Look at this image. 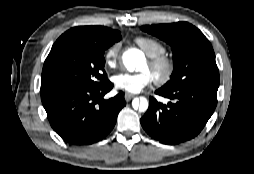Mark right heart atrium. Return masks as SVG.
Returning <instances> with one entry per match:
<instances>
[{
	"mask_svg": "<svg viewBox=\"0 0 254 174\" xmlns=\"http://www.w3.org/2000/svg\"><path fill=\"white\" fill-rule=\"evenodd\" d=\"M120 47V43H113L106 49L104 53V62L107 67L113 68L116 66L119 57Z\"/></svg>",
	"mask_w": 254,
	"mask_h": 174,
	"instance_id": "d8ad5b80",
	"label": "right heart atrium"
}]
</instances>
